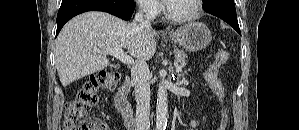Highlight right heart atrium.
Here are the masks:
<instances>
[{"label":"right heart atrium","mask_w":299,"mask_h":130,"mask_svg":"<svg viewBox=\"0 0 299 130\" xmlns=\"http://www.w3.org/2000/svg\"><path fill=\"white\" fill-rule=\"evenodd\" d=\"M140 12L147 18H155L161 12V6L157 0H138Z\"/></svg>","instance_id":"right-heart-atrium-1"}]
</instances>
